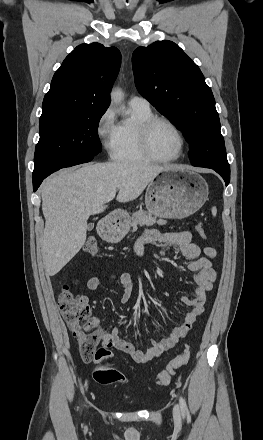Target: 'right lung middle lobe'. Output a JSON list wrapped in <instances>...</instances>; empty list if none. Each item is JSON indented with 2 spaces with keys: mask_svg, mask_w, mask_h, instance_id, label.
Wrapping results in <instances>:
<instances>
[{
  "mask_svg": "<svg viewBox=\"0 0 263 440\" xmlns=\"http://www.w3.org/2000/svg\"><path fill=\"white\" fill-rule=\"evenodd\" d=\"M104 109L42 113L35 148L33 180L84 162L102 150L98 124Z\"/></svg>",
  "mask_w": 263,
  "mask_h": 440,
  "instance_id": "obj_1",
  "label": "right lung middle lobe"
}]
</instances>
